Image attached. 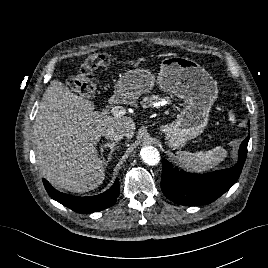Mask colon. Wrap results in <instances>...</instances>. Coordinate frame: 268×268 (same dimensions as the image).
<instances>
[{"mask_svg": "<svg viewBox=\"0 0 268 268\" xmlns=\"http://www.w3.org/2000/svg\"><path fill=\"white\" fill-rule=\"evenodd\" d=\"M109 62L110 56L106 53L98 52L88 55L80 63L77 73L68 79V86L82 97L93 98L96 89L91 74L107 66Z\"/></svg>", "mask_w": 268, "mask_h": 268, "instance_id": "obj_1", "label": "colon"}]
</instances>
